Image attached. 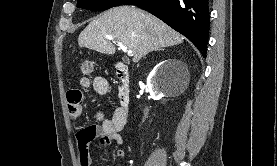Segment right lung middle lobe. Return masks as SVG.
<instances>
[{
  "mask_svg": "<svg viewBox=\"0 0 277 166\" xmlns=\"http://www.w3.org/2000/svg\"><path fill=\"white\" fill-rule=\"evenodd\" d=\"M124 0H78L77 7L91 11L107 10L119 6Z\"/></svg>",
  "mask_w": 277,
  "mask_h": 166,
  "instance_id": "right-lung-middle-lobe-1",
  "label": "right lung middle lobe"
}]
</instances>
